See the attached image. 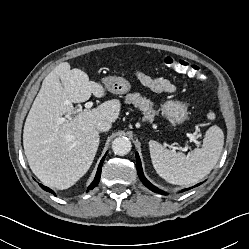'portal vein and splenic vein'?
<instances>
[{
	"instance_id": "18ae733b",
	"label": "portal vein and splenic vein",
	"mask_w": 249,
	"mask_h": 249,
	"mask_svg": "<svg viewBox=\"0 0 249 249\" xmlns=\"http://www.w3.org/2000/svg\"><path fill=\"white\" fill-rule=\"evenodd\" d=\"M93 106V103L92 102H87L86 104H85V108L86 109H89V108H91ZM81 111V109H78L76 112L78 113V112H80ZM75 112V113H76ZM67 119H71L70 118V115H67L66 117H61L59 120H58V122L59 123H63V122H65ZM188 137L190 138V141H193V142H196V138L192 135V134H188ZM184 150H186V149H184Z\"/></svg>"
}]
</instances>
